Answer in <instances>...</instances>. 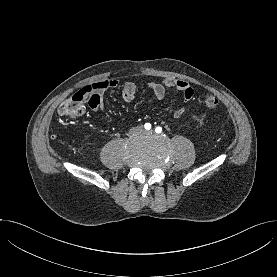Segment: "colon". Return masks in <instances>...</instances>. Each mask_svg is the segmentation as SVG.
Segmentation results:
<instances>
[{"label":"colon","mask_w":277,"mask_h":277,"mask_svg":"<svg viewBox=\"0 0 277 277\" xmlns=\"http://www.w3.org/2000/svg\"><path fill=\"white\" fill-rule=\"evenodd\" d=\"M94 99L87 91L80 90L61 104L59 114L71 118L80 116L85 112L86 104L90 106ZM204 103L208 108H215L219 101L215 95L209 93L204 97Z\"/></svg>","instance_id":"1"}]
</instances>
